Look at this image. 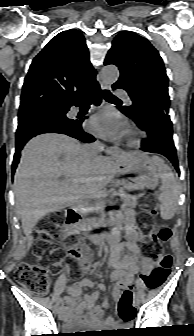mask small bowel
I'll return each mask as SVG.
<instances>
[{
    "mask_svg": "<svg viewBox=\"0 0 194 336\" xmlns=\"http://www.w3.org/2000/svg\"><path fill=\"white\" fill-rule=\"evenodd\" d=\"M133 211H125V241L116 246L110 256L111 264L114 268L110 278L116 283L115 297H120V289L130 286L135 275L138 273L137 261L140 260L142 273L149 274L152 272L155 262L142 254L138 240L140 232L133 223ZM126 249V253H122V249ZM56 267L61 266V262L55 264ZM80 269L83 274H87L91 270V266L87 261H82ZM96 287L97 290L85 295L80 301L82 290L85 287ZM100 291H105V287L101 284H95L89 278H83L69 288V296L64 299V308L61 311L62 318L70 324L84 325L95 327L99 323L106 326L115 324L114 320L109 318H101V309H107L109 303L107 299L103 301L101 307L95 306V302L100 296Z\"/></svg>",
    "mask_w": 194,
    "mask_h": 336,
    "instance_id": "1",
    "label": "small bowel"
}]
</instances>
